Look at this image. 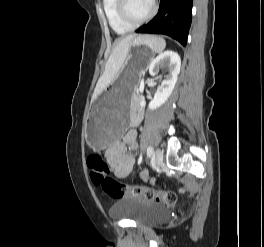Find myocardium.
<instances>
[{"instance_id":"f54148a6","label":"myocardium","mask_w":264,"mask_h":247,"mask_svg":"<svg viewBox=\"0 0 264 247\" xmlns=\"http://www.w3.org/2000/svg\"><path fill=\"white\" fill-rule=\"evenodd\" d=\"M156 12V4L154 0H151V7L149 12L140 19H134L129 11H128V0H118L117 2V13L120 17V19L129 25L130 27H136L139 26L145 22H147L149 19L152 18V16Z\"/></svg>"}]
</instances>
